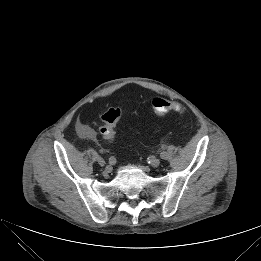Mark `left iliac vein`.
<instances>
[{
	"label": "left iliac vein",
	"mask_w": 261,
	"mask_h": 261,
	"mask_svg": "<svg viewBox=\"0 0 261 261\" xmlns=\"http://www.w3.org/2000/svg\"><path fill=\"white\" fill-rule=\"evenodd\" d=\"M150 164H151L152 167H158L160 165V159L154 158V159L151 160Z\"/></svg>",
	"instance_id": "obj_1"
}]
</instances>
